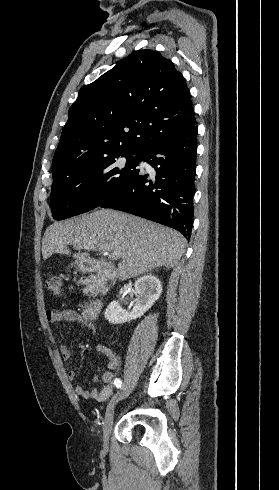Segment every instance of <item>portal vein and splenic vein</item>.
I'll list each match as a JSON object with an SVG mask.
<instances>
[{"label": "portal vein and splenic vein", "mask_w": 279, "mask_h": 490, "mask_svg": "<svg viewBox=\"0 0 279 490\" xmlns=\"http://www.w3.org/2000/svg\"><path fill=\"white\" fill-rule=\"evenodd\" d=\"M104 256H109L110 260H117L116 256H112L109 252H105Z\"/></svg>", "instance_id": "obj_1"}]
</instances>
